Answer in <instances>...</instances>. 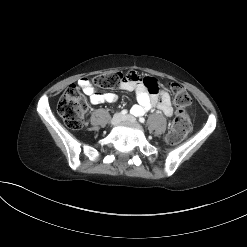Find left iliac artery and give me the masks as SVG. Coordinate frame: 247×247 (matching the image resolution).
Wrapping results in <instances>:
<instances>
[{"label": "left iliac artery", "mask_w": 247, "mask_h": 247, "mask_svg": "<svg viewBox=\"0 0 247 247\" xmlns=\"http://www.w3.org/2000/svg\"><path fill=\"white\" fill-rule=\"evenodd\" d=\"M139 121H140L141 123H144V122H145V119H144L143 117H140V118H139Z\"/></svg>", "instance_id": "1"}]
</instances>
